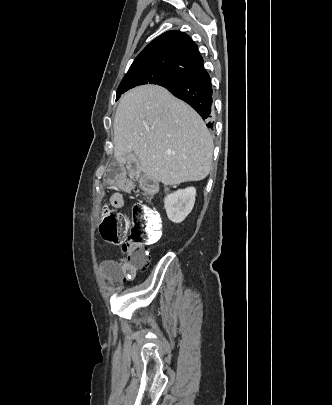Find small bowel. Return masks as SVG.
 <instances>
[{
	"mask_svg": "<svg viewBox=\"0 0 332 405\" xmlns=\"http://www.w3.org/2000/svg\"><path fill=\"white\" fill-rule=\"evenodd\" d=\"M108 167V172H102L103 186H122L124 181H130V184H136V181H139V172H125L126 166L124 162H110ZM109 204L110 206H114L116 211H123L125 209V204L122 202L120 194L110 197ZM101 269L107 278L117 283H120L127 274L122 266L113 260L102 262Z\"/></svg>",
	"mask_w": 332,
	"mask_h": 405,
	"instance_id": "obj_1",
	"label": "small bowel"
}]
</instances>
